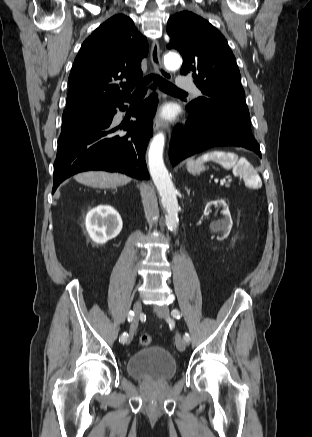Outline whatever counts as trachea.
Instances as JSON below:
<instances>
[{
	"instance_id": "3493384b",
	"label": "trachea",
	"mask_w": 312,
	"mask_h": 437,
	"mask_svg": "<svg viewBox=\"0 0 312 437\" xmlns=\"http://www.w3.org/2000/svg\"><path fill=\"white\" fill-rule=\"evenodd\" d=\"M152 79H154L156 82H158L160 89L166 93L186 94L185 91L178 89L175 85H173L172 83L161 78L159 75L151 74V75L147 76L146 78H144V80L139 84V89L136 92L137 96H142L147 92V89L144 87V85L149 83Z\"/></svg>"
}]
</instances>
